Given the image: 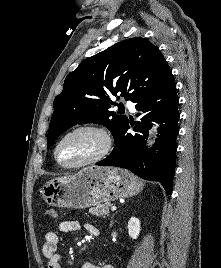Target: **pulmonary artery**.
<instances>
[{
	"label": "pulmonary artery",
	"instance_id": "e3ab8cb5",
	"mask_svg": "<svg viewBox=\"0 0 221 268\" xmlns=\"http://www.w3.org/2000/svg\"><path fill=\"white\" fill-rule=\"evenodd\" d=\"M126 106L131 112H135V105L132 102L130 101L126 102Z\"/></svg>",
	"mask_w": 221,
	"mask_h": 268
}]
</instances>
